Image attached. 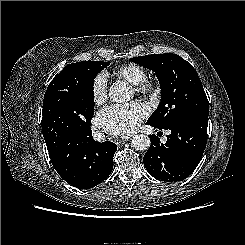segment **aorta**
Listing matches in <instances>:
<instances>
[{"instance_id":"762f6f07","label":"aorta","mask_w":245,"mask_h":245,"mask_svg":"<svg viewBox=\"0 0 245 245\" xmlns=\"http://www.w3.org/2000/svg\"><path fill=\"white\" fill-rule=\"evenodd\" d=\"M109 97L113 102L123 103L132 97L131 92L122 82H116L109 89ZM150 138L145 134L135 135L131 145L135 150L145 151L150 147Z\"/></svg>"}]
</instances>
